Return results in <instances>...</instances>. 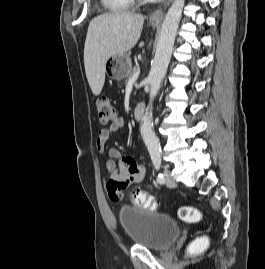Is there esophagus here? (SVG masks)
<instances>
[{
    "label": "esophagus",
    "instance_id": "obj_1",
    "mask_svg": "<svg viewBox=\"0 0 265 269\" xmlns=\"http://www.w3.org/2000/svg\"><path fill=\"white\" fill-rule=\"evenodd\" d=\"M171 1L172 0H168L163 9H158L150 14L149 16L150 23H160L162 21L165 10L170 5Z\"/></svg>",
    "mask_w": 265,
    "mask_h": 269
}]
</instances>
